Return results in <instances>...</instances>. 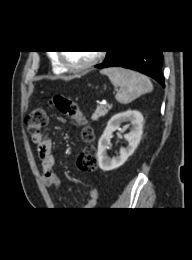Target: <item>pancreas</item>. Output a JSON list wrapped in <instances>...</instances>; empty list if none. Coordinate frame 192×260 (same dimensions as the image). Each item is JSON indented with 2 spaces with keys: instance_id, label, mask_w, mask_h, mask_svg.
I'll list each match as a JSON object with an SVG mask.
<instances>
[{
  "instance_id": "cf45deb5",
  "label": "pancreas",
  "mask_w": 192,
  "mask_h": 260,
  "mask_svg": "<svg viewBox=\"0 0 192 260\" xmlns=\"http://www.w3.org/2000/svg\"><path fill=\"white\" fill-rule=\"evenodd\" d=\"M110 108V106L99 105L92 114V120H98L100 117L105 116L110 110Z\"/></svg>"
}]
</instances>
